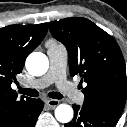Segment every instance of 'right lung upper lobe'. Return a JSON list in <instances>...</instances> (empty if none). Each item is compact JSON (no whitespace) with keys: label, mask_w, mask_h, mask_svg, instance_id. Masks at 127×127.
<instances>
[{"label":"right lung upper lobe","mask_w":127,"mask_h":127,"mask_svg":"<svg viewBox=\"0 0 127 127\" xmlns=\"http://www.w3.org/2000/svg\"><path fill=\"white\" fill-rule=\"evenodd\" d=\"M47 31V23L0 28V127H10L30 112L33 99L18 97L11 84Z\"/></svg>","instance_id":"right-lung-upper-lobe-1"}]
</instances>
